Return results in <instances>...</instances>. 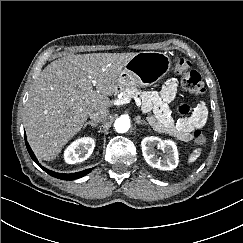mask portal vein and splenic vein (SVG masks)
Returning a JSON list of instances; mask_svg holds the SVG:
<instances>
[{
    "label": "portal vein and splenic vein",
    "mask_w": 243,
    "mask_h": 243,
    "mask_svg": "<svg viewBox=\"0 0 243 243\" xmlns=\"http://www.w3.org/2000/svg\"><path fill=\"white\" fill-rule=\"evenodd\" d=\"M93 83H95V81H93ZM135 102H136V105L138 107L141 106V100L140 98H138L137 96L133 97ZM130 102V98L129 97H123L121 99H117L113 102L114 105H123V104H127Z\"/></svg>",
    "instance_id": "18ae733b"
}]
</instances>
